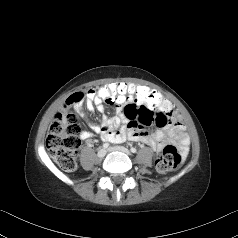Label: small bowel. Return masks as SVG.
Wrapping results in <instances>:
<instances>
[{
  "label": "small bowel",
  "instance_id": "1",
  "mask_svg": "<svg viewBox=\"0 0 238 238\" xmlns=\"http://www.w3.org/2000/svg\"><path fill=\"white\" fill-rule=\"evenodd\" d=\"M124 84V83H118ZM85 105L88 110L96 109L103 115L101 123H90L92 132L84 131L80 137L88 140L94 135H100L104 141L120 143L125 140L141 142L150 146L155 152H160L168 144L173 141L177 143L182 156L188 153L190 139L185 132L183 124L179 120V116L172 110L171 104L164 101V104L153 110L151 107L143 105H130L128 103H108L116 105L117 114L109 117L105 114V105L98 99V94L91 89L84 94ZM83 98V99H84ZM82 101L73 104L80 115H83ZM67 107V100L65 102ZM143 108L152 111L153 124L158 129L149 133L144 126H147L140 119V112ZM118 129V130H117Z\"/></svg>",
  "mask_w": 238,
  "mask_h": 238
}]
</instances>
